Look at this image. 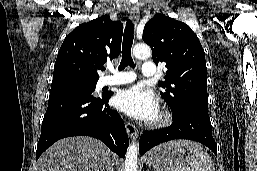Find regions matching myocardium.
Wrapping results in <instances>:
<instances>
[{"label":"myocardium","instance_id":"obj_1","mask_svg":"<svg viewBox=\"0 0 257 171\" xmlns=\"http://www.w3.org/2000/svg\"><path fill=\"white\" fill-rule=\"evenodd\" d=\"M173 119L172 113L165 108L158 109L156 116L148 122L152 128H163L168 126Z\"/></svg>","mask_w":257,"mask_h":171}]
</instances>
